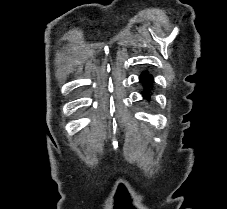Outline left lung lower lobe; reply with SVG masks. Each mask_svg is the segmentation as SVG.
<instances>
[{"label":"left lung lower lobe","mask_w":227,"mask_h":209,"mask_svg":"<svg viewBox=\"0 0 227 209\" xmlns=\"http://www.w3.org/2000/svg\"><path fill=\"white\" fill-rule=\"evenodd\" d=\"M140 81L141 83L145 86V91L142 92L143 96L150 100V93L151 91L149 90L152 87L153 84V78L146 72L141 74L140 76Z\"/></svg>","instance_id":"1"}]
</instances>
